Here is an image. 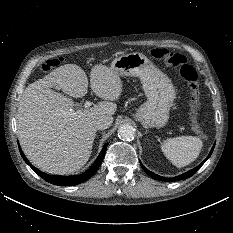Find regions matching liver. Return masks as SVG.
I'll return each instance as SVG.
<instances>
[{"label": "liver", "mask_w": 233, "mask_h": 233, "mask_svg": "<svg viewBox=\"0 0 233 233\" xmlns=\"http://www.w3.org/2000/svg\"><path fill=\"white\" fill-rule=\"evenodd\" d=\"M90 87L104 101L86 110L74 111L73 98L87 94L88 78L75 64H65L29 84L18 105L19 141L27 158L40 170L65 175L80 170L89 160L101 115L112 116L122 93V81L110 67L93 66ZM77 112L76 114H72Z\"/></svg>", "instance_id": "liver-1"}]
</instances>
